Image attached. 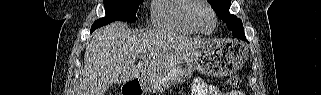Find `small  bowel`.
Returning a JSON list of instances; mask_svg holds the SVG:
<instances>
[{
  "label": "small bowel",
  "mask_w": 321,
  "mask_h": 95,
  "mask_svg": "<svg viewBox=\"0 0 321 95\" xmlns=\"http://www.w3.org/2000/svg\"><path fill=\"white\" fill-rule=\"evenodd\" d=\"M194 94L195 95H221L223 93L216 86L196 83ZM232 94L234 95V93Z\"/></svg>",
  "instance_id": "small-bowel-1"
}]
</instances>
